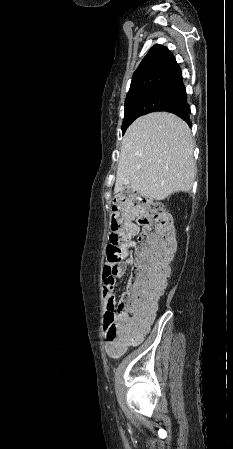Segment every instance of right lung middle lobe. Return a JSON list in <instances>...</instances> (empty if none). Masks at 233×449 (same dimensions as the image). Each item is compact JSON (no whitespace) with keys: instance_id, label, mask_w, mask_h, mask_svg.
<instances>
[{"instance_id":"right-lung-middle-lobe-1","label":"right lung middle lobe","mask_w":233,"mask_h":449,"mask_svg":"<svg viewBox=\"0 0 233 449\" xmlns=\"http://www.w3.org/2000/svg\"><path fill=\"white\" fill-rule=\"evenodd\" d=\"M185 92L173 88H151L127 95L125 114L122 123L123 133L139 116L153 111H159L164 106L183 99Z\"/></svg>"}]
</instances>
